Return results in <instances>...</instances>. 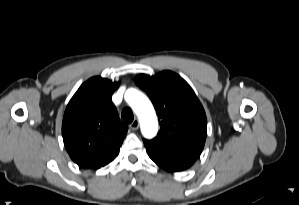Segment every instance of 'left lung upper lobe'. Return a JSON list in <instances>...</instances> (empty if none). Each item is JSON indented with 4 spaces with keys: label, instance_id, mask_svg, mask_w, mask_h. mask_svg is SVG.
Instances as JSON below:
<instances>
[{
    "label": "left lung upper lobe",
    "instance_id": "5c2ea615",
    "mask_svg": "<svg viewBox=\"0 0 299 205\" xmlns=\"http://www.w3.org/2000/svg\"><path fill=\"white\" fill-rule=\"evenodd\" d=\"M135 83L145 90L155 106L161 124L153 140L180 139L205 144V111L188 83L171 71L154 76L139 74Z\"/></svg>",
    "mask_w": 299,
    "mask_h": 205
}]
</instances>
